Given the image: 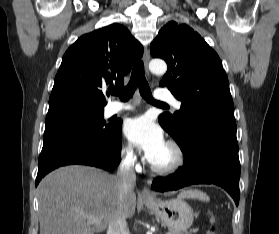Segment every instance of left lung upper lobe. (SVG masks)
Segmentation results:
<instances>
[{"mask_svg": "<svg viewBox=\"0 0 279 234\" xmlns=\"http://www.w3.org/2000/svg\"><path fill=\"white\" fill-rule=\"evenodd\" d=\"M154 58L167 62L168 70L161 86H167L181 101L173 115L158 117L162 128L187 148L192 127L201 121L235 122L234 104L227 75L217 53L186 24L170 21L150 46Z\"/></svg>", "mask_w": 279, "mask_h": 234, "instance_id": "left-lung-upper-lobe-1", "label": "left lung upper lobe"}]
</instances>
